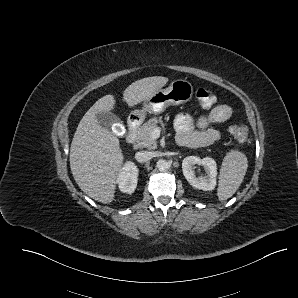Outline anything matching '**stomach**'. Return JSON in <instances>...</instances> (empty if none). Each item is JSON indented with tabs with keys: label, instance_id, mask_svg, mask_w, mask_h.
Masks as SVG:
<instances>
[{
	"label": "stomach",
	"instance_id": "1",
	"mask_svg": "<svg viewBox=\"0 0 298 298\" xmlns=\"http://www.w3.org/2000/svg\"><path fill=\"white\" fill-rule=\"evenodd\" d=\"M194 93L193 85L184 79L173 80L168 87L158 90L144 101L142 110L133 114L144 119L146 113L159 115L169 106H178L189 102Z\"/></svg>",
	"mask_w": 298,
	"mask_h": 298
}]
</instances>
